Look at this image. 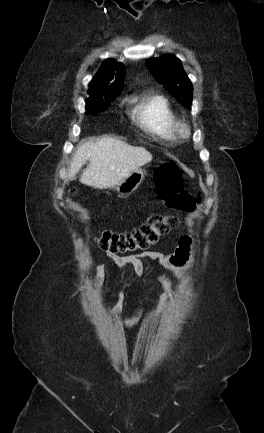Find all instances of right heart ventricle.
Instances as JSON below:
<instances>
[{"instance_id":"1","label":"right heart ventricle","mask_w":264,"mask_h":433,"mask_svg":"<svg viewBox=\"0 0 264 433\" xmlns=\"http://www.w3.org/2000/svg\"><path fill=\"white\" fill-rule=\"evenodd\" d=\"M130 103L131 117L142 130L165 142L177 141L179 118L166 97L144 93Z\"/></svg>"}]
</instances>
